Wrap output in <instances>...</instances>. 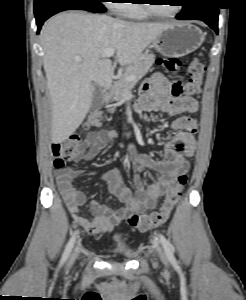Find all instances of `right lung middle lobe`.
<instances>
[{"instance_id":"dd1d6c3e","label":"right lung middle lobe","mask_w":246,"mask_h":300,"mask_svg":"<svg viewBox=\"0 0 246 300\" xmlns=\"http://www.w3.org/2000/svg\"><path fill=\"white\" fill-rule=\"evenodd\" d=\"M46 1L48 0H35L34 7H38L43 3H45ZM85 1L88 2V4L92 5V7L105 11V7L101 3L102 0H85Z\"/></svg>"}]
</instances>
